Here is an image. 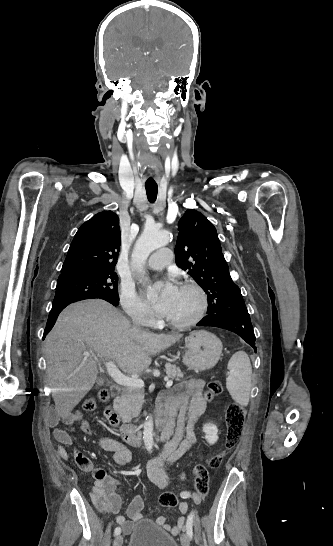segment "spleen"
<instances>
[{"label": "spleen", "instance_id": "spleen-1", "mask_svg": "<svg viewBox=\"0 0 333 546\" xmlns=\"http://www.w3.org/2000/svg\"><path fill=\"white\" fill-rule=\"evenodd\" d=\"M228 370L226 387L230 395L238 404L247 406L252 387V367L248 355L244 351L236 352L228 362Z\"/></svg>", "mask_w": 333, "mask_h": 546}]
</instances>
